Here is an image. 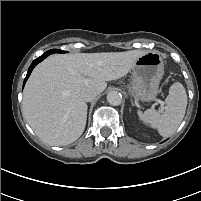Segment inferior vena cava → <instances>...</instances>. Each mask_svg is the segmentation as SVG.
Segmentation results:
<instances>
[{
    "label": "inferior vena cava",
    "instance_id": "602c4592",
    "mask_svg": "<svg viewBox=\"0 0 201 201\" xmlns=\"http://www.w3.org/2000/svg\"><path fill=\"white\" fill-rule=\"evenodd\" d=\"M96 96H97V93L92 88H86V89L82 90V92H81V97L86 102H90V101L94 100L96 98Z\"/></svg>",
    "mask_w": 201,
    "mask_h": 201
}]
</instances>
